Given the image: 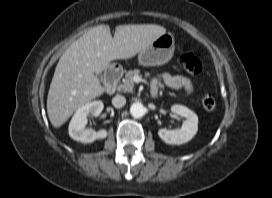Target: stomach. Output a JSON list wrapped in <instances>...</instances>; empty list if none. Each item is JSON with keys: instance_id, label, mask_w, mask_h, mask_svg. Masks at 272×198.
I'll return each instance as SVG.
<instances>
[{"instance_id": "0dacf381", "label": "stomach", "mask_w": 272, "mask_h": 198, "mask_svg": "<svg viewBox=\"0 0 272 198\" xmlns=\"http://www.w3.org/2000/svg\"><path fill=\"white\" fill-rule=\"evenodd\" d=\"M174 49V37L170 33L163 34L139 53V63L143 66L163 65L172 58Z\"/></svg>"}]
</instances>
